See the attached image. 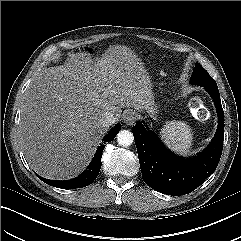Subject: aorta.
Segmentation results:
<instances>
[{
  "label": "aorta",
  "mask_w": 241,
  "mask_h": 241,
  "mask_svg": "<svg viewBox=\"0 0 241 241\" xmlns=\"http://www.w3.org/2000/svg\"><path fill=\"white\" fill-rule=\"evenodd\" d=\"M134 141V136L129 130H121L117 134V142L121 146H130Z\"/></svg>",
  "instance_id": "aorta-1"
}]
</instances>
